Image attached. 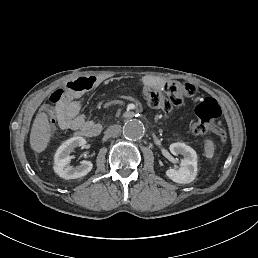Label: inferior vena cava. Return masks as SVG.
<instances>
[{
  "label": "inferior vena cava",
  "mask_w": 258,
  "mask_h": 258,
  "mask_svg": "<svg viewBox=\"0 0 258 258\" xmlns=\"http://www.w3.org/2000/svg\"><path fill=\"white\" fill-rule=\"evenodd\" d=\"M120 133H121L120 125H112L106 131V135L109 137L118 136Z\"/></svg>",
  "instance_id": "602c4592"
}]
</instances>
